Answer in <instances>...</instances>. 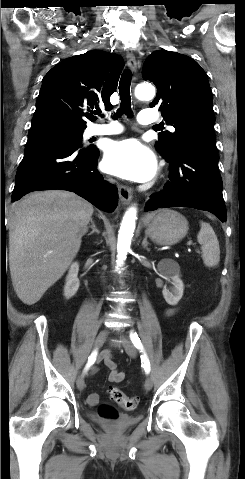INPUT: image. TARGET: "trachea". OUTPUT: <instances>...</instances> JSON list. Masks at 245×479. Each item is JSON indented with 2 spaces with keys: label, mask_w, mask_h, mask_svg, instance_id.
<instances>
[{
  "label": "trachea",
  "mask_w": 245,
  "mask_h": 479,
  "mask_svg": "<svg viewBox=\"0 0 245 479\" xmlns=\"http://www.w3.org/2000/svg\"><path fill=\"white\" fill-rule=\"evenodd\" d=\"M130 85H131V72L126 69L119 82V94H120V109L117 110L114 119L119 118L122 114H126L129 118L133 116L131 110V96H130Z\"/></svg>",
  "instance_id": "3493384b"
}]
</instances>
